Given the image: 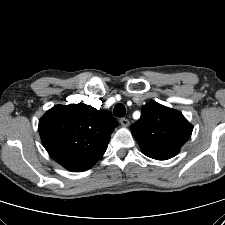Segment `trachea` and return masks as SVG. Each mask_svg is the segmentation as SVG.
Wrapping results in <instances>:
<instances>
[{"label":"trachea","mask_w":225,"mask_h":225,"mask_svg":"<svg viewBox=\"0 0 225 225\" xmlns=\"http://www.w3.org/2000/svg\"><path fill=\"white\" fill-rule=\"evenodd\" d=\"M113 114L116 117H124L126 114V108L123 104L118 103L115 105L114 110H113Z\"/></svg>","instance_id":"3493384b"}]
</instances>
